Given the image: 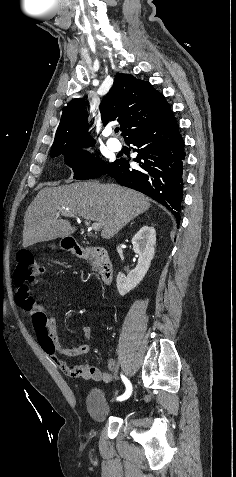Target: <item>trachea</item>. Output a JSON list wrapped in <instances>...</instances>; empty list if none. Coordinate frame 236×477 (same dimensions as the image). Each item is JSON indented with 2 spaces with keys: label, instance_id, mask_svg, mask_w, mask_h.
Here are the masks:
<instances>
[{
  "label": "trachea",
  "instance_id": "3493384b",
  "mask_svg": "<svg viewBox=\"0 0 236 477\" xmlns=\"http://www.w3.org/2000/svg\"><path fill=\"white\" fill-rule=\"evenodd\" d=\"M119 132V127H116L115 128V133H118Z\"/></svg>",
  "mask_w": 236,
  "mask_h": 477
}]
</instances>
